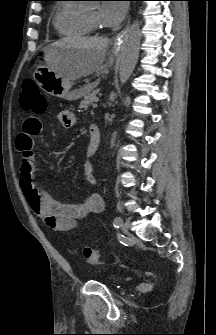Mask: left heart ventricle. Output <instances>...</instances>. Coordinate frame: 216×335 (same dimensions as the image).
Instances as JSON below:
<instances>
[{
  "label": "left heart ventricle",
  "mask_w": 216,
  "mask_h": 335,
  "mask_svg": "<svg viewBox=\"0 0 216 335\" xmlns=\"http://www.w3.org/2000/svg\"><path fill=\"white\" fill-rule=\"evenodd\" d=\"M99 9L96 7V8H93V9H90L89 11L86 12V15L92 20L94 21L95 23H100V20H99Z\"/></svg>",
  "instance_id": "obj_1"
}]
</instances>
